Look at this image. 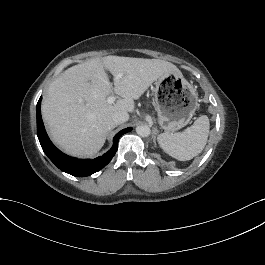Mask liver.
<instances>
[{
	"label": "liver",
	"mask_w": 265,
	"mask_h": 265,
	"mask_svg": "<svg viewBox=\"0 0 265 265\" xmlns=\"http://www.w3.org/2000/svg\"><path fill=\"white\" fill-rule=\"evenodd\" d=\"M104 67L114 76V88ZM171 73L182 76L164 60L112 55L68 68L49 85L41 105L52 141L72 156H94L115 128L112 114L133 112L134 100L158 78ZM118 74L123 76L117 78ZM113 92L121 98L109 104L107 96Z\"/></svg>",
	"instance_id": "obj_1"
}]
</instances>
